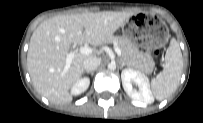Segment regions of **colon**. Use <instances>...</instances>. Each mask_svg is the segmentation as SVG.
Returning a JSON list of instances; mask_svg holds the SVG:
<instances>
[{
	"instance_id": "colon-1",
	"label": "colon",
	"mask_w": 203,
	"mask_h": 123,
	"mask_svg": "<svg viewBox=\"0 0 203 123\" xmlns=\"http://www.w3.org/2000/svg\"><path fill=\"white\" fill-rule=\"evenodd\" d=\"M160 54V52L158 51V50H156V51H154L153 52V55L156 57V56H158Z\"/></svg>"
}]
</instances>
